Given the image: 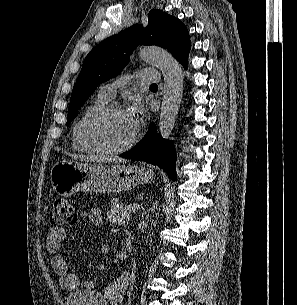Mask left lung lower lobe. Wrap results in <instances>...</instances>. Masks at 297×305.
Segmentation results:
<instances>
[{
	"label": "left lung lower lobe",
	"mask_w": 297,
	"mask_h": 305,
	"mask_svg": "<svg viewBox=\"0 0 297 305\" xmlns=\"http://www.w3.org/2000/svg\"><path fill=\"white\" fill-rule=\"evenodd\" d=\"M187 68V62L182 64ZM123 158L145 161L158 165L172 180H176L175 172V148L171 141L165 140L157 133V128L152 123L144 139L134 147V149L120 155Z\"/></svg>",
	"instance_id": "1"
}]
</instances>
